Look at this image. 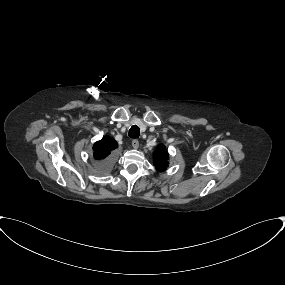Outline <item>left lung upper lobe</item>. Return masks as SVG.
I'll return each instance as SVG.
<instances>
[{
	"instance_id": "left-lung-upper-lobe-1",
	"label": "left lung upper lobe",
	"mask_w": 285,
	"mask_h": 285,
	"mask_svg": "<svg viewBox=\"0 0 285 285\" xmlns=\"http://www.w3.org/2000/svg\"><path fill=\"white\" fill-rule=\"evenodd\" d=\"M154 166L157 171H164L168 167V152L164 145H158L154 151Z\"/></svg>"
}]
</instances>
